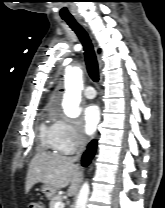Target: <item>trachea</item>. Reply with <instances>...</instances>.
Here are the masks:
<instances>
[{
    "label": "trachea",
    "mask_w": 165,
    "mask_h": 208,
    "mask_svg": "<svg viewBox=\"0 0 165 208\" xmlns=\"http://www.w3.org/2000/svg\"><path fill=\"white\" fill-rule=\"evenodd\" d=\"M79 37L85 54V62L89 76L94 82L99 80V69L93 45L87 33L74 19H64Z\"/></svg>",
    "instance_id": "1"
}]
</instances>
